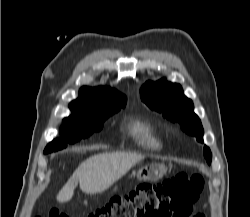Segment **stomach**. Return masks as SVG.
<instances>
[{
  "label": "stomach",
  "instance_id": "0dacf381",
  "mask_svg": "<svg viewBox=\"0 0 250 217\" xmlns=\"http://www.w3.org/2000/svg\"><path fill=\"white\" fill-rule=\"evenodd\" d=\"M166 172L167 167L164 164L153 163L139 169L137 178L141 181H157L161 179Z\"/></svg>",
  "mask_w": 250,
  "mask_h": 217
}]
</instances>
